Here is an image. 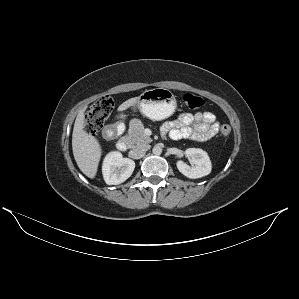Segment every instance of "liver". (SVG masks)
Returning a JSON list of instances; mask_svg holds the SVG:
<instances>
[{"label":"liver","instance_id":"liver-1","mask_svg":"<svg viewBox=\"0 0 299 299\" xmlns=\"http://www.w3.org/2000/svg\"><path fill=\"white\" fill-rule=\"evenodd\" d=\"M139 97H134L123 102L118 110L123 111L137 103ZM84 107L77 115L73 134L72 150L79 169L89 178H94L97 173L98 164L101 158V146L98 140L84 131L85 112Z\"/></svg>","mask_w":299,"mask_h":299}]
</instances>
